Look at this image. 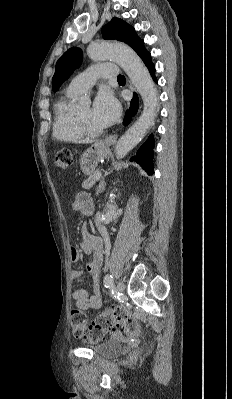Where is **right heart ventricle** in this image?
I'll return each mask as SVG.
<instances>
[{
    "label": "right heart ventricle",
    "mask_w": 232,
    "mask_h": 399,
    "mask_svg": "<svg viewBox=\"0 0 232 399\" xmlns=\"http://www.w3.org/2000/svg\"><path fill=\"white\" fill-rule=\"evenodd\" d=\"M74 100L73 95L57 101L53 106L52 135L54 139L63 143L75 144L84 140V136L78 130L69 106Z\"/></svg>",
    "instance_id": "obj_1"
}]
</instances>
